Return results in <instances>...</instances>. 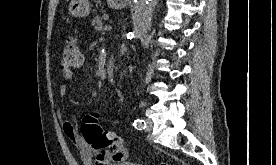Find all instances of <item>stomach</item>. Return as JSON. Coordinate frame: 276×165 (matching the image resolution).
I'll return each instance as SVG.
<instances>
[{"label":"stomach","instance_id":"obj_1","mask_svg":"<svg viewBox=\"0 0 276 165\" xmlns=\"http://www.w3.org/2000/svg\"><path fill=\"white\" fill-rule=\"evenodd\" d=\"M111 8L122 9L127 5V0H107ZM69 13L74 17H86L90 13L88 0H71Z\"/></svg>","mask_w":276,"mask_h":165}]
</instances>
